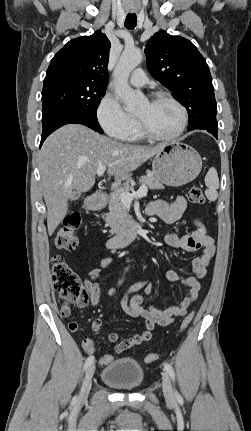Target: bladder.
<instances>
[{"instance_id": "obj_1", "label": "bladder", "mask_w": 251, "mask_h": 431, "mask_svg": "<svg viewBox=\"0 0 251 431\" xmlns=\"http://www.w3.org/2000/svg\"><path fill=\"white\" fill-rule=\"evenodd\" d=\"M101 379L105 384L113 388L131 391L137 389L142 384L144 370L133 359H117L104 367Z\"/></svg>"}]
</instances>
